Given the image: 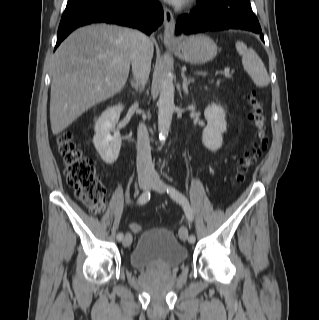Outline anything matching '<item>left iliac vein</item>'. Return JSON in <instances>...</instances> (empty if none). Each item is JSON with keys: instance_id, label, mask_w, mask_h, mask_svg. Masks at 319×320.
Masks as SVG:
<instances>
[{"instance_id": "left-iliac-vein-1", "label": "left iliac vein", "mask_w": 319, "mask_h": 320, "mask_svg": "<svg viewBox=\"0 0 319 320\" xmlns=\"http://www.w3.org/2000/svg\"><path fill=\"white\" fill-rule=\"evenodd\" d=\"M150 188L159 192V193H163V192H165L167 186L160 178L154 177L151 180ZM179 235L183 241H186L187 237H188L187 229L185 227H182L180 229Z\"/></svg>"}]
</instances>
